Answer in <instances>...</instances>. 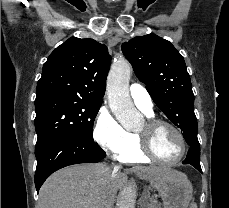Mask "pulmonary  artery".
I'll return each mask as SVG.
<instances>
[{"label":"pulmonary artery","instance_id":"1","mask_svg":"<svg viewBox=\"0 0 229 208\" xmlns=\"http://www.w3.org/2000/svg\"><path fill=\"white\" fill-rule=\"evenodd\" d=\"M134 104L145 114H153L154 104L148 91L140 84H133L129 89Z\"/></svg>","mask_w":229,"mask_h":208}]
</instances>
